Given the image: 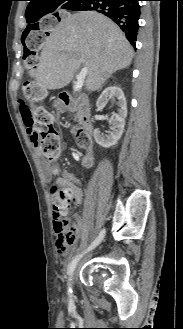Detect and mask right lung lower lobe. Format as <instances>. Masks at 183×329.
Masks as SVG:
<instances>
[{"label": "right lung lower lobe", "instance_id": "1", "mask_svg": "<svg viewBox=\"0 0 183 329\" xmlns=\"http://www.w3.org/2000/svg\"><path fill=\"white\" fill-rule=\"evenodd\" d=\"M140 0H76L67 10H93L111 18L125 32L126 38L135 47Z\"/></svg>", "mask_w": 183, "mask_h": 329}]
</instances>
